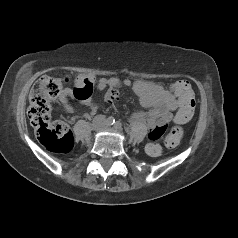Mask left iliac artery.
<instances>
[{
  "label": "left iliac artery",
  "mask_w": 238,
  "mask_h": 238,
  "mask_svg": "<svg viewBox=\"0 0 238 238\" xmlns=\"http://www.w3.org/2000/svg\"><path fill=\"white\" fill-rule=\"evenodd\" d=\"M114 128L117 129V130H120L121 129V123L119 121H116L115 124H114Z\"/></svg>",
  "instance_id": "left-iliac-artery-1"
}]
</instances>
